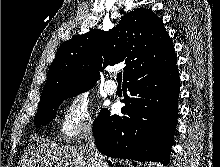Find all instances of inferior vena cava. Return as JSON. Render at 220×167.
<instances>
[{
    "mask_svg": "<svg viewBox=\"0 0 220 167\" xmlns=\"http://www.w3.org/2000/svg\"><path fill=\"white\" fill-rule=\"evenodd\" d=\"M85 142V147L89 150L95 167H109L103 155L96 148L94 137L90 127L86 130Z\"/></svg>",
    "mask_w": 220,
    "mask_h": 167,
    "instance_id": "obj_1",
    "label": "inferior vena cava"
}]
</instances>
